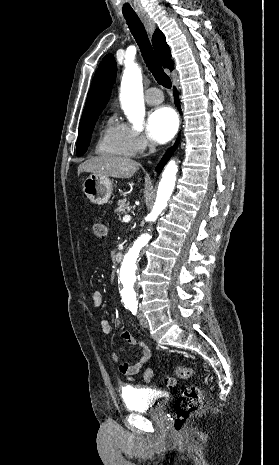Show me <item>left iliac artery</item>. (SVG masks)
<instances>
[{"mask_svg": "<svg viewBox=\"0 0 279 465\" xmlns=\"http://www.w3.org/2000/svg\"><path fill=\"white\" fill-rule=\"evenodd\" d=\"M128 308L133 314H136V312H137V305L136 304H132V305L128 306Z\"/></svg>", "mask_w": 279, "mask_h": 465, "instance_id": "1", "label": "left iliac artery"}]
</instances>
